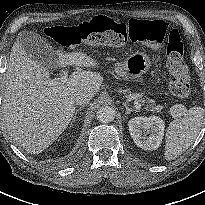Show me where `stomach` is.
I'll return each instance as SVG.
<instances>
[{
  "mask_svg": "<svg viewBox=\"0 0 205 205\" xmlns=\"http://www.w3.org/2000/svg\"><path fill=\"white\" fill-rule=\"evenodd\" d=\"M150 57L140 51L133 52L127 59L115 66L116 73L125 79H136L145 74L151 67Z\"/></svg>",
  "mask_w": 205,
  "mask_h": 205,
  "instance_id": "stomach-1",
  "label": "stomach"
}]
</instances>
